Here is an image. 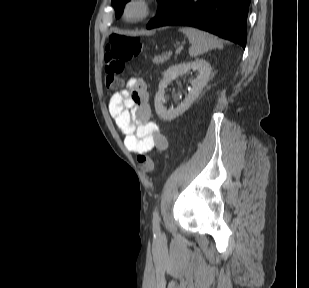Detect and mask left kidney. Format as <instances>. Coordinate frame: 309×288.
Instances as JSON below:
<instances>
[{"instance_id":"obj_1","label":"left kidney","mask_w":309,"mask_h":288,"mask_svg":"<svg viewBox=\"0 0 309 288\" xmlns=\"http://www.w3.org/2000/svg\"><path fill=\"white\" fill-rule=\"evenodd\" d=\"M190 70L198 71L197 77L190 81L191 89L186 95L184 101L177 108L167 110L163 105L165 88L173 79L189 72ZM210 73L211 65L204 59H196L193 62L181 63L179 65L169 67L164 72L163 79L159 83V89L154 99L157 115L164 120L171 121L184 113L206 86Z\"/></svg>"}]
</instances>
